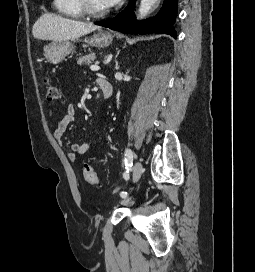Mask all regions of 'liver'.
<instances>
[{
    "mask_svg": "<svg viewBox=\"0 0 255 272\" xmlns=\"http://www.w3.org/2000/svg\"><path fill=\"white\" fill-rule=\"evenodd\" d=\"M96 29H100V27L93 23L45 13L33 25L32 34L36 39L61 42L79 38Z\"/></svg>",
    "mask_w": 255,
    "mask_h": 272,
    "instance_id": "obj_1",
    "label": "liver"
}]
</instances>
